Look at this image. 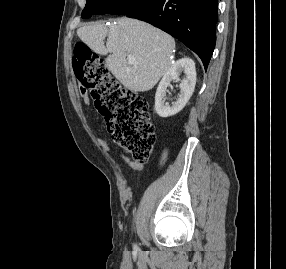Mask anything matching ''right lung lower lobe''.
I'll list each match as a JSON object with an SVG mask.
<instances>
[{"mask_svg": "<svg viewBox=\"0 0 286 269\" xmlns=\"http://www.w3.org/2000/svg\"><path fill=\"white\" fill-rule=\"evenodd\" d=\"M127 17L174 36L194 51L207 69L216 43L218 0H151Z\"/></svg>", "mask_w": 286, "mask_h": 269, "instance_id": "right-lung-lower-lobe-1", "label": "right lung lower lobe"}]
</instances>
